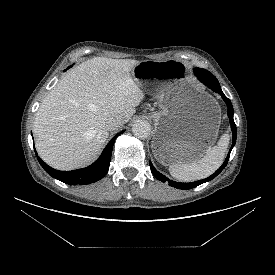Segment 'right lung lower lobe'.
<instances>
[{"instance_id": "right-lung-lower-lobe-1", "label": "right lung lower lobe", "mask_w": 275, "mask_h": 275, "mask_svg": "<svg viewBox=\"0 0 275 275\" xmlns=\"http://www.w3.org/2000/svg\"><path fill=\"white\" fill-rule=\"evenodd\" d=\"M124 131L120 132L116 136L112 138V140L107 144L105 149L103 150L101 156L97 161H95L92 165L77 169L74 171H58L47 164H45L40 157H37L39 163L43 167V169L52 177L66 183L69 185H86L93 182H96L103 178L108 172L110 161H111V153L113 149V144L115 139ZM36 153V152H35ZM37 156V153H36Z\"/></svg>"}]
</instances>
